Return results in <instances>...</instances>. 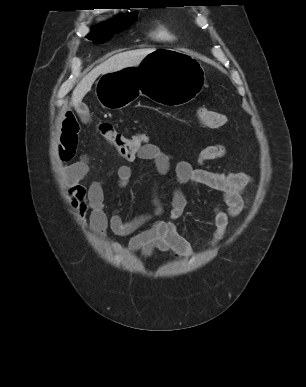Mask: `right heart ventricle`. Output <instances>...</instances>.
<instances>
[{
  "mask_svg": "<svg viewBox=\"0 0 306 387\" xmlns=\"http://www.w3.org/2000/svg\"><path fill=\"white\" fill-rule=\"evenodd\" d=\"M151 37L157 41L171 42L175 39L172 31L164 24L159 23L151 32Z\"/></svg>",
  "mask_w": 306,
  "mask_h": 387,
  "instance_id": "obj_1",
  "label": "right heart ventricle"
}]
</instances>
